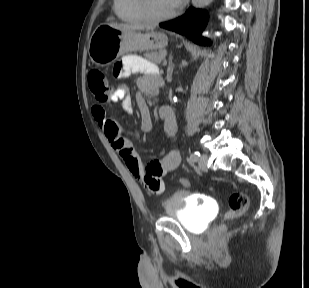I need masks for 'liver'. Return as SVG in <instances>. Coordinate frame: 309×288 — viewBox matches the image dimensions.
Wrapping results in <instances>:
<instances>
[{
	"label": "liver",
	"mask_w": 309,
	"mask_h": 288,
	"mask_svg": "<svg viewBox=\"0 0 309 288\" xmlns=\"http://www.w3.org/2000/svg\"><path fill=\"white\" fill-rule=\"evenodd\" d=\"M110 25L114 26V27H119V28H123V29H127V30H150V27H146L144 25H138V24H134V25H129V24H118V23H110Z\"/></svg>",
	"instance_id": "liver-1"
}]
</instances>
